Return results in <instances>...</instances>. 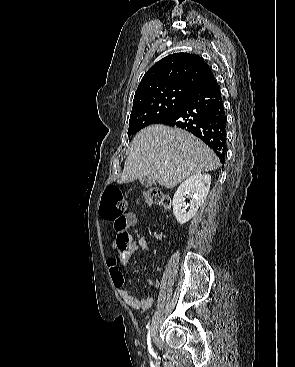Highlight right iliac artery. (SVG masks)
Wrapping results in <instances>:
<instances>
[{
  "mask_svg": "<svg viewBox=\"0 0 295 367\" xmlns=\"http://www.w3.org/2000/svg\"><path fill=\"white\" fill-rule=\"evenodd\" d=\"M147 344H148L149 353L153 354V350H152V346H151V340H150V331L148 332V335H147Z\"/></svg>",
  "mask_w": 295,
  "mask_h": 367,
  "instance_id": "obj_1",
  "label": "right iliac artery"
}]
</instances>
